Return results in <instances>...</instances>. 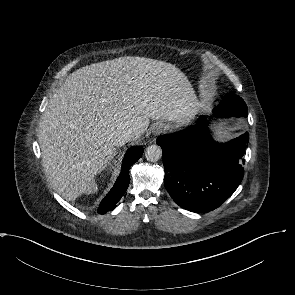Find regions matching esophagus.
I'll list each match as a JSON object with an SVG mask.
<instances>
[{"label":"esophagus","mask_w":295,"mask_h":295,"mask_svg":"<svg viewBox=\"0 0 295 295\" xmlns=\"http://www.w3.org/2000/svg\"><path fill=\"white\" fill-rule=\"evenodd\" d=\"M168 129V125L165 124V123H156L154 126H153V129H152V133L154 136H159L163 133H165Z\"/></svg>","instance_id":"obj_1"}]
</instances>
